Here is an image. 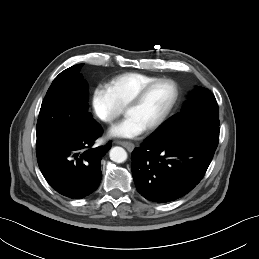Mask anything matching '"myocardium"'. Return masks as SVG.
Here are the masks:
<instances>
[{
  "instance_id": "f54148a6",
  "label": "myocardium",
  "mask_w": 259,
  "mask_h": 259,
  "mask_svg": "<svg viewBox=\"0 0 259 259\" xmlns=\"http://www.w3.org/2000/svg\"><path fill=\"white\" fill-rule=\"evenodd\" d=\"M159 83H168L173 87V98L172 101L170 102L169 106L167 107V109L164 111V113L161 115V117L156 120L153 124H151L150 126H148L147 128H145L146 132H152L156 129H158L159 127H161L165 121L168 119V117L170 116V114L172 113V111L174 110V108L176 107L178 100H179V96H180V90L178 87V84L170 79V78H157L151 82H149L148 84L144 85L143 87H141L125 104L124 106V112L126 113V111L132 107H135L136 105H138L142 99L144 98V96L147 94V92L155 85L159 84Z\"/></svg>"
}]
</instances>
